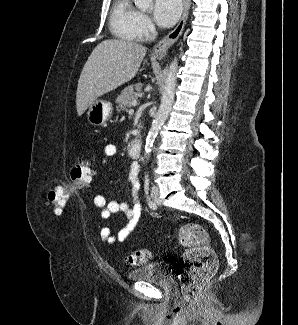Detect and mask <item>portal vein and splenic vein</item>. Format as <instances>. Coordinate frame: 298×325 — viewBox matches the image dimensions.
<instances>
[{
	"label": "portal vein and splenic vein",
	"instance_id": "1",
	"mask_svg": "<svg viewBox=\"0 0 298 325\" xmlns=\"http://www.w3.org/2000/svg\"><path fill=\"white\" fill-rule=\"evenodd\" d=\"M140 96V94H139ZM131 104H133V106H136V104H138V100H132ZM131 112H134V108H130Z\"/></svg>",
	"mask_w": 298,
	"mask_h": 325
}]
</instances>
